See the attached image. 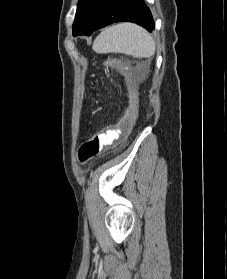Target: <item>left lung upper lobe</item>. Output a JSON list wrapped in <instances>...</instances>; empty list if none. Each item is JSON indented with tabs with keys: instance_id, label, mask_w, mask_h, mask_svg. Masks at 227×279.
<instances>
[{
	"instance_id": "obj_1",
	"label": "left lung upper lobe",
	"mask_w": 227,
	"mask_h": 279,
	"mask_svg": "<svg viewBox=\"0 0 227 279\" xmlns=\"http://www.w3.org/2000/svg\"><path fill=\"white\" fill-rule=\"evenodd\" d=\"M92 2H93V0H79L78 1L76 18H75V22L72 27L73 34L75 32H77L78 30H80V28L82 27L86 14H87V11Z\"/></svg>"
}]
</instances>
